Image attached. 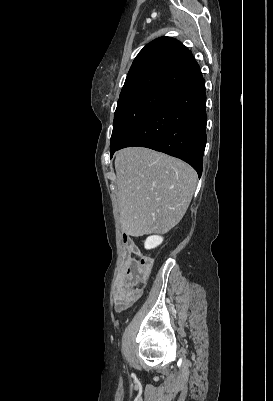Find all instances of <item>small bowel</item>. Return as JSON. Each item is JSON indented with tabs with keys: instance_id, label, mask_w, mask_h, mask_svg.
<instances>
[{
	"instance_id": "1",
	"label": "small bowel",
	"mask_w": 273,
	"mask_h": 401,
	"mask_svg": "<svg viewBox=\"0 0 273 401\" xmlns=\"http://www.w3.org/2000/svg\"><path fill=\"white\" fill-rule=\"evenodd\" d=\"M127 251L130 256L134 253V246L131 244L128 246ZM124 261V260H123ZM121 271V269H120ZM143 284L147 282V280H140ZM142 297L141 290H120L115 297V307L117 311H123L128 308L132 304H140Z\"/></svg>"
}]
</instances>
